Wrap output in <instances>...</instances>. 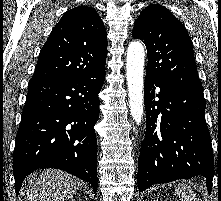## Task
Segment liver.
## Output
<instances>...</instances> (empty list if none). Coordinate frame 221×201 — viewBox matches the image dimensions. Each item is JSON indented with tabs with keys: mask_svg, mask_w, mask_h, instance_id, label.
I'll return each mask as SVG.
<instances>
[{
	"mask_svg": "<svg viewBox=\"0 0 221 201\" xmlns=\"http://www.w3.org/2000/svg\"><path fill=\"white\" fill-rule=\"evenodd\" d=\"M82 183L61 170H43L39 176L30 175L24 183L25 201H65Z\"/></svg>",
	"mask_w": 221,
	"mask_h": 201,
	"instance_id": "obj_1",
	"label": "liver"
}]
</instances>
